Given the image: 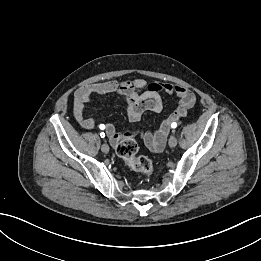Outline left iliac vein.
<instances>
[{"mask_svg":"<svg viewBox=\"0 0 261 261\" xmlns=\"http://www.w3.org/2000/svg\"><path fill=\"white\" fill-rule=\"evenodd\" d=\"M168 143H169V146L171 148H174L177 145V138L175 136H171L169 138V142Z\"/></svg>","mask_w":261,"mask_h":261,"instance_id":"left-iliac-vein-1","label":"left iliac vein"}]
</instances>
